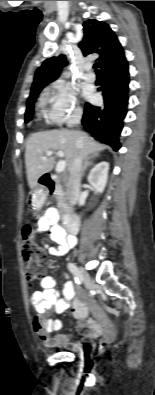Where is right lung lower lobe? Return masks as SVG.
Instances as JSON below:
<instances>
[{"mask_svg": "<svg viewBox=\"0 0 155 395\" xmlns=\"http://www.w3.org/2000/svg\"><path fill=\"white\" fill-rule=\"evenodd\" d=\"M102 72L105 82L99 90L102 91L104 104L92 106L87 103L82 124L95 139L118 150L121 147L119 135L123 128L129 98L128 63L124 61Z\"/></svg>", "mask_w": 155, "mask_h": 395, "instance_id": "98d812e1", "label": "right lung lower lobe"}]
</instances>
